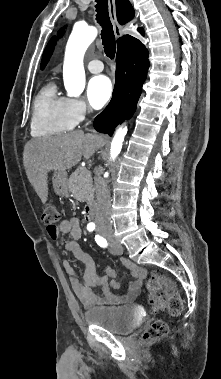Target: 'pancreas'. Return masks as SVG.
Returning a JSON list of instances; mask_svg holds the SVG:
<instances>
[{
  "mask_svg": "<svg viewBox=\"0 0 221 379\" xmlns=\"http://www.w3.org/2000/svg\"><path fill=\"white\" fill-rule=\"evenodd\" d=\"M68 189L74 197L82 202H90L94 197L92 177L86 168H78L68 180Z\"/></svg>",
  "mask_w": 221,
  "mask_h": 379,
  "instance_id": "obj_1",
  "label": "pancreas"
}]
</instances>
